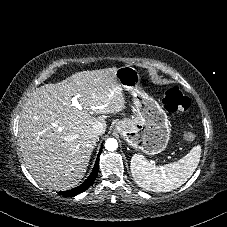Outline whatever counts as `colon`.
I'll list each match as a JSON object with an SVG mask.
<instances>
[{
    "label": "colon",
    "instance_id": "obj_1",
    "mask_svg": "<svg viewBox=\"0 0 227 227\" xmlns=\"http://www.w3.org/2000/svg\"><path fill=\"white\" fill-rule=\"evenodd\" d=\"M163 102L165 108L171 113L187 111L190 106L189 99L176 87L166 91ZM184 138L189 141L193 140L194 132L188 129L184 133Z\"/></svg>",
    "mask_w": 227,
    "mask_h": 227
}]
</instances>
